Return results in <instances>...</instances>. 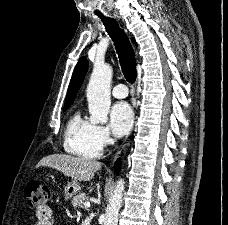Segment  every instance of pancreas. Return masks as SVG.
Here are the masks:
<instances>
[{"label": "pancreas", "mask_w": 228, "mask_h": 225, "mask_svg": "<svg viewBox=\"0 0 228 225\" xmlns=\"http://www.w3.org/2000/svg\"><path fill=\"white\" fill-rule=\"evenodd\" d=\"M85 193H79V195H76V197H73L71 203L73 207H82L84 201H85Z\"/></svg>", "instance_id": "obj_1"}]
</instances>
